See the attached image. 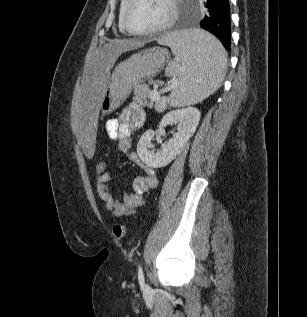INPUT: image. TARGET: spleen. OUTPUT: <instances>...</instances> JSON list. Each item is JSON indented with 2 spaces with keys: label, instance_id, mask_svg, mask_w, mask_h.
Returning <instances> with one entry per match:
<instances>
[{
  "label": "spleen",
  "instance_id": "spleen-1",
  "mask_svg": "<svg viewBox=\"0 0 307 317\" xmlns=\"http://www.w3.org/2000/svg\"><path fill=\"white\" fill-rule=\"evenodd\" d=\"M155 42L169 46L174 55L165 70L167 76L179 79L169 96L170 106L199 103L220 87L227 55L216 37L199 26H182L177 33H161Z\"/></svg>",
  "mask_w": 307,
  "mask_h": 317
}]
</instances>
